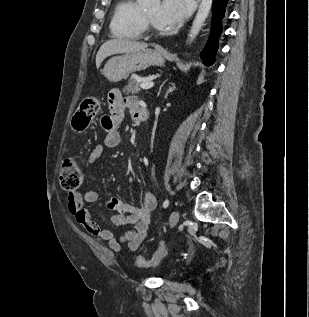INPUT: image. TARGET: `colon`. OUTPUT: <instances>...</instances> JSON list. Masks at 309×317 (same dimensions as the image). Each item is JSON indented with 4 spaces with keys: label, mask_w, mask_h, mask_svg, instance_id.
Wrapping results in <instances>:
<instances>
[{
    "label": "colon",
    "mask_w": 309,
    "mask_h": 317,
    "mask_svg": "<svg viewBox=\"0 0 309 317\" xmlns=\"http://www.w3.org/2000/svg\"><path fill=\"white\" fill-rule=\"evenodd\" d=\"M99 111L100 102L96 97L85 98L73 116V128L78 132L86 130ZM59 181L61 187L68 192H75L81 187L83 172L75 158H67L63 161L59 173ZM137 262L141 266L150 264L148 259L142 257H138Z\"/></svg>",
    "instance_id": "colon-1"
}]
</instances>
